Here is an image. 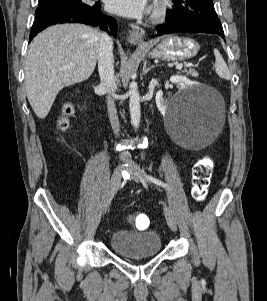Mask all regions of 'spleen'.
Returning <instances> with one entry per match:
<instances>
[{"label": "spleen", "mask_w": 267, "mask_h": 301, "mask_svg": "<svg viewBox=\"0 0 267 301\" xmlns=\"http://www.w3.org/2000/svg\"><path fill=\"white\" fill-rule=\"evenodd\" d=\"M214 55H215V71L217 75L222 79L229 80L231 74L222 55L217 49H214Z\"/></svg>", "instance_id": "3e777b00"}]
</instances>
